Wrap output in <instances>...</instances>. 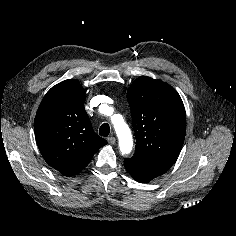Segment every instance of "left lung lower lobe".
I'll list each match as a JSON object with an SVG mask.
<instances>
[{"mask_svg": "<svg viewBox=\"0 0 236 236\" xmlns=\"http://www.w3.org/2000/svg\"><path fill=\"white\" fill-rule=\"evenodd\" d=\"M124 164L129 174L136 181L141 183H147L164 174L172 166L171 164L149 159L136 154L129 159H125Z\"/></svg>", "mask_w": 236, "mask_h": 236, "instance_id": "obj_1", "label": "left lung lower lobe"}]
</instances>
